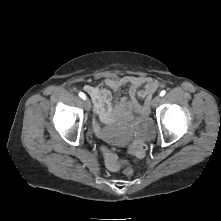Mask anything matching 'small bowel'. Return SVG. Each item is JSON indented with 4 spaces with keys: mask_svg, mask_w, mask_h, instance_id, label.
Segmentation results:
<instances>
[{
    "mask_svg": "<svg viewBox=\"0 0 221 221\" xmlns=\"http://www.w3.org/2000/svg\"><path fill=\"white\" fill-rule=\"evenodd\" d=\"M124 86L129 88V99L114 100L111 91L116 92ZM159 86V83L151 77L126 75L105 78L100 87L87 85L84 89L91 97L100 121L106 122L116 115L130 119L132 112L146 116L147 106L138 104L136 99L137 97L148 99Z\"/></svg>",
    "mask_w": 221,
    "mask_h": 221,
    "instance_id": "c3829d8e",
    "label": "small bowel"
}]
</instances>
